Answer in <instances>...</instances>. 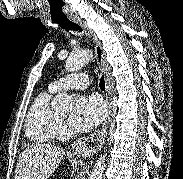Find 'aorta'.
Returning <instances> with one entry per match:
<instances>
[{
    "mask_svg": "<svg viewBox=\"0 0 183 179\" xmlns=\"http://www.w3.org/2000/svg\"><path fill=\"white\" fill-rule=\"evenodd\" d=\"M92 53L89 50L71 54L65 61V70L68 72H75L80 70L91 60ZM73 97L65 92H61L52 101V107L57 110L68 111L72 108ZM106 155L101 154L94 168L91 172L89 179H102L106 167Z\"/></svg>",
    "mask_w": 183,
    "mask_h": 179,
    "instance_id": "obj_1",
    "label": "aorta"
}]
</instances>
